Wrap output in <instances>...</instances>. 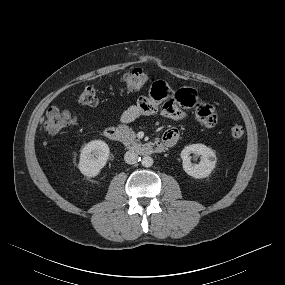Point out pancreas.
Masks as SVG:
<instances>
[{"mask_svg":"<svg viewBox=\"0 0 285 285\" xmlns=\"http://www.w3.org/2000/svg\"><path fill=\"white\" fill-rule=\"evenodd\" d=\"M126 134L128 136L130 144H132V145L138 144L139 140L136 139L134 132L127 131Z\"/></svg>","mask_w":285,"mask_h":285,"instance_id":"1","label":"pancreas"}]
</instances>
